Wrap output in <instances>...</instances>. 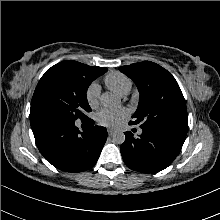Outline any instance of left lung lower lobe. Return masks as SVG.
<instances>
[{"label":"left lung lower lobe","instance_id":"left-lung-lower-lobe-1","mask_svg":"<svg viewBox=\"0 0 220 220\" xmlns=\"http://www.w3.org/2000/svg\"><path fill=\"white\" fill-rule=\"evenodd\" d=\"M126 139L121 145L122 158L131 170L153 173L167 168L178 156L182 141L165 133L144 130L135 138L125 132Z\"/></svg>","mask_w":220,"mask_h":220}]
</instances>
